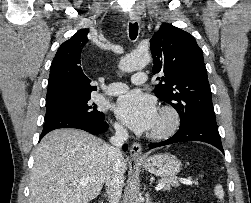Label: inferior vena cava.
I'll return each instance as SVG.
<instances>
[{
    "label": "inferior vena cava",
    "instance_id": "inferior-vena-cava-1",
    "mask_svg": "<svg viewBox=\"0 0 251 203\" xmlns=\"http://www.w3.org/2000/svg\"><path fill=\"white\" fill-rule=\"evenodd\" d=\"M115 135L111 137L108 155L111 162L110 170L105 179L109 203H119L124 182L122 145L128 139V132L119 124L114 125Z\"/></svg>",
    "mask_w": 251,
    "mask_h": 203
}]
</instances>
